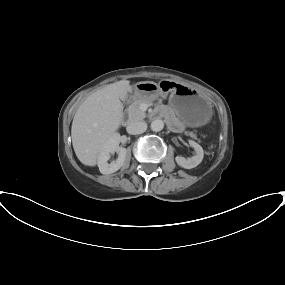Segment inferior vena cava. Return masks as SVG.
<instances>
[{
	"mask_svg": "<svg viewBox=\"0 0 285 285\" xmlns=\"http://www.w3.org/2000/svg\"><path fill=\"white\" fill-rule=\"evenodd\" d=\"M126 129L129 134H141L146 131L147 124L144 121H135L130 123Z\"/></svg>",
	"mask_w": 285,
	"mask_h": 285,
	"instance_id": "obj_1",
	"label": "inferior vena cava"
}]
</instances>
